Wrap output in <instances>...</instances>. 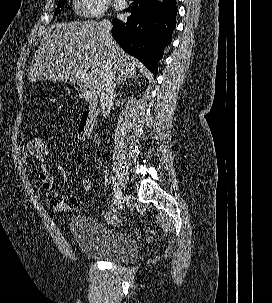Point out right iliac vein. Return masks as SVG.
Returning a JSON list of instances; mask_svg holds the SVG:
<instances>
[{
  "label": "right iliac vein",
  "instance_id": "obj_1",
  "mask_svg": "<svg viewBox=\"0 0 272 303\" xmlns=\"http://www.w3.org/2000/svg\"><path fill=\"white\" fill-rule=\"evenodd\" d=\"M113 181H114L115 195L118 197L117 206L118 208H121L124 203V194L122 192L121 187L119 186V183L116 181L115 177H113Z\"/></svg>",
  "mask_w": 272,
  "mask_h": 303
}]
</instances>
